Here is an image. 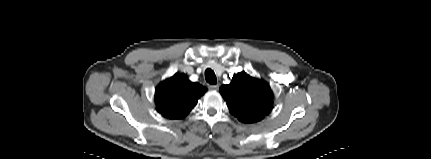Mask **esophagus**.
Masks as SVG:
<instances>
[{
  "label": "esophagus",
  "mask_w": 431,
  "mask_h": 159,
  "mask_svg": "<svg viewBox=\"0 0 431 159\" xmlns=\"http://www.w3.org/2000/svg\"><path fill=\"white\" fill-rule=\"evenodd\" d=\"M208 87H209L210 90H218L219 89V85L218 84H215V85L212 84V85H209Z\"/></svg>",
  "instance_id": "1"
}]
</instances>
